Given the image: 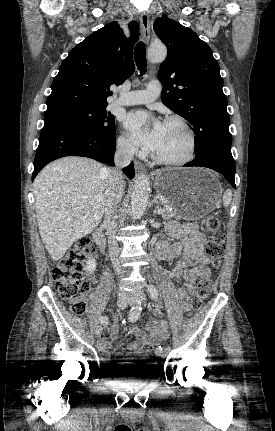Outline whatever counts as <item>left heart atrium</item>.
<instances>
[{
  "label": "left heart atrium",
  "instance_id": "39dd6f15",
  "mask_svg": "<svg viewBox=\"0 0 275 431\" xmlns=\"http://www.w3.org/2000/svg\"><path fill=\"white\" fill-rule=\"evenodd\" d=\"M147 113L136 112L129 114L125 119V125L134 142L141 147L155 151L161 141L164 124L158 120H152Z\"/></svg>",
  "mask_w": 275,
  "mask_h": 431
}]
</instances>
